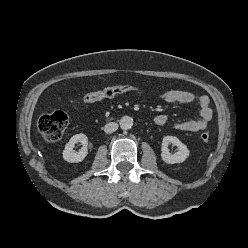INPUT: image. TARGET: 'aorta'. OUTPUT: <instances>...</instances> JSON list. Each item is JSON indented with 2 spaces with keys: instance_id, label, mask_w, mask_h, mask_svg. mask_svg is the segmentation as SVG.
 I'll return each instance as SVG.
<instances>
[{
  "instance_id": "1",
  "label": "aorta",
  "mask_w": 248,
  "mask_h": 248,
  "mask_svg": "<svg viewBox=\"0 0 248 248\" xmlns=\"http://www.w3.org/2000/svg\"><path fill=\"white\" fill-rule=\"evenodd\" d=\"M133 126V118L130 116H123L120 119V128L122 130H129Z\"/></svg>"
}]
</instances>
